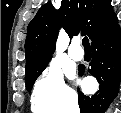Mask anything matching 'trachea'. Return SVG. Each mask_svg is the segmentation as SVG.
<instances>
[{
	"label": "trachea",
	"mask_w": 121,
	"mask_h": 113,
	"mask_svg": "<svg viewBox=\"0 0 121 113\" xmlns=\"http://www.w3.org/2000/svg\"><path fill=\"white\" fill-rule=\"evenodd\" d=\"M82 44H83L85 50H90V44H89V40L87 37L83 38Z\"/></svg>",
	"instance_id": "obj_1"
}]
</instances>
